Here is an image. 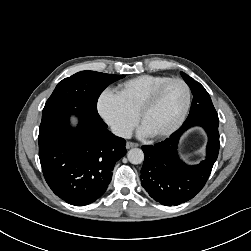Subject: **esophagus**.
Wrapping results in <instances>:
<instances>
[{
	"instance_id": "obj_1",
	"label": "esophagus",
	"mask_w": 251,
	"mask_h": 251,
	"mask_svg": "<svg viewBox=\"0 0 251 251\" xmlns=\"http://www.w3.org/2000/svg\"><path fill=\"white\" fill-rule=\"evenodd\" d=\"M137 146H138V144H137V143H134V142L128 141V142L126 143V148H127V149H130V148H133V147H137Z\"/></svg>"
}]
</instances>
